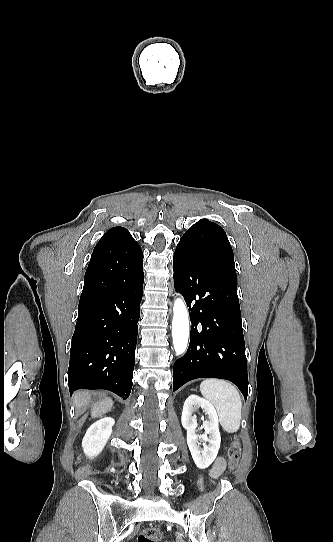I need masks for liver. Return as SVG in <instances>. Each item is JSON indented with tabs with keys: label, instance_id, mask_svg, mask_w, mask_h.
<instances>
[{
	"label": "liver",
	"instance_id": "liver-1",
	"mask_svg": "<svg viewBox=\"0 0 333 542\" xmlns=\"http://www.w3.org/2000/svg\"><path fill=\"white\" fill-rule=\"evenodd\" d=\"M91 398L90 392H76L73 396V400L75 402L76 408H81V406H84V404H87ZM114 402H112L111 398H106V400H101V402H96L93 406V410L91 412L92 418H103V414H107V412H110Z\"/></svg>",
	"mask_w": 333,
	"mask_h": 542
}]
</instances>
